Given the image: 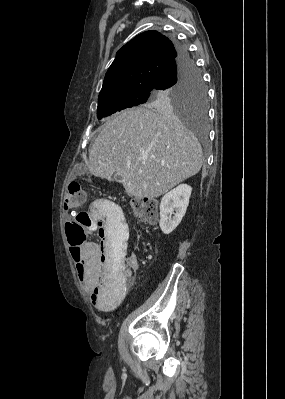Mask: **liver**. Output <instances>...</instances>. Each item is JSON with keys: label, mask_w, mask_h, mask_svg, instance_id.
Returning <instances> with one entry per match:
<instances>
[{"label": "liver", "mask_w": 285, "mask_h": 399, "mask_svg": "<svg viewBox=\"0 0 285 399\" xmlns=\"http://www.w3.org/2000/svg\"><path fill=\"white\" fill-rule=\"evenodd\" d=\"M202 148L172 113L148 108L124 110L103 125L89 150V171L121 178L125 192L154 198L197 174Z\"/></svg>", "instance_id": "obj_1"}]
</instances>
